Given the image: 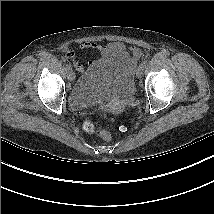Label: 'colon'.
<instances>
[{
	"label": "colon",
	"mask_w": 214,
	"mask_h": 214,
	"mask_svg": "<svg viewBox=\"0 0 214 214\" xmlns=\"http://www.w3.org/2000/svg\"><path fill=\"white\" fill-rule=\"evenodd\" d=\"M106 116L108 117V115H106ZM84 127L88 132H91V133L95 132V134L97 136H99L100 138H102L105 141H110L112 138L111 134L105 129H98L97 131H94L92 124L89 122H85Z\"/></svg>",
	"instance_id": "5ec220e1"
}]
</instances>
